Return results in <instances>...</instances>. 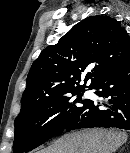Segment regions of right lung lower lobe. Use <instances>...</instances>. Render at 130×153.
<instances>
[{
  "mask_svg": "<svg viewBox=\"0 0 130 153\" xmlns=\"http://www.w3.org/2000/svg\"><path fill=\"white\" fill-rule=\"evenodd\" d=\"M98 96L108 98L104 109L92 100L64 129L116 127L130 130V61L104 75L93 87Z\"/></svg>",
  "mask_w": 130,
  "mask_h": 153,
  "instance_id": "1",
  "label": "right lung lower lobe"
}]
</instances>
